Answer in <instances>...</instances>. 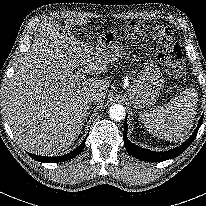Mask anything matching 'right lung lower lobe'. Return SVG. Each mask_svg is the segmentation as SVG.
<instances>
[{"mask_svg":"<svg viewBox=\"0 0 206 206\" xmlns=\"http://www.w3.org/2000/svg\"><path fill=\"white\" fill-rule=\"evenodd\" d=\"M87 138V136H86ZM86 138L84 139V141L80 144V146H78L75 150L71 151L70 153L63 155V156H57V157H44V156H38V155H34V154H29L34 160L39 161V162H48V163H57V162H63V161H67L70 160L74 157H76L78 154H80L82 152V150L85 147V141Z\"/></svg>","mask_w":206,"mask_h":206,"instance_id":"obj_1","label":"right lung lower lobe"}]
</instances>
